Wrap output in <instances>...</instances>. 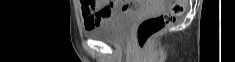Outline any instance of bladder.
I'll list each match as a JSON object with an SVG mask.
<instances>
[{
	"label": "bladder",
	"instance_id": "bladder-1",
	"mask_svg": "<svg viewBox=\"0 0 235 62\" xmlns=\"http://www.w3.org/2000/svg\"><path fill=\"white\" fill-rule=\"evenodd\" d=\"M136 18L135 10L119 12L113 20L103 26L87 30L86 36L108 44H120L126 39Z\"/></svg>",
	"mask_w": 235,
	"mask_h": 62
}]
</instances>
